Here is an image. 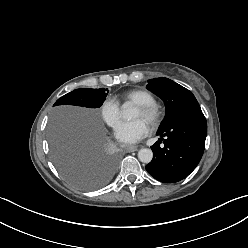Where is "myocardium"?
Masks as SVG:
<instances>
[{
  "label": "myocardium",
  "instance_id": "obj_1",
  "mask_svg": "<svg viewBox=\"0 0 248 248\" xmlns=\"http://www.w3.org/2000/svg\"><path fill=\"white\" fill-rule=\"evenodd\" d=\"M136 108L146 117L149 126L156 127L160 123L163 112L161 106L155 101L138 104Z\"/></svg>",
  "mask_w": 248,
  "mask_h": 248
}]
</instances>
